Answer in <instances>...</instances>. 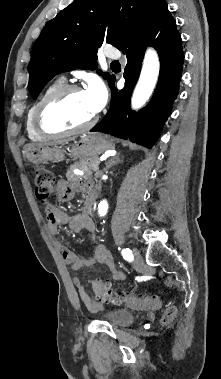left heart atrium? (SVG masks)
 <instances>
[{"label":"left heart atrium","mask_w":221,"mask_h":379,"mask_svg":"<svg viewBox=\"0 0 221 379\" xmlns=\"http://www.w3.org/2000/svg\"><path fill=\"white\" fill-rule=\"evenodd\" d=\"M83 95L94 113L99 112L105 106L108 98L107 89L98 78L89 80Z\"/></svg>","instance_id":"obj_1"}]
</instances>
